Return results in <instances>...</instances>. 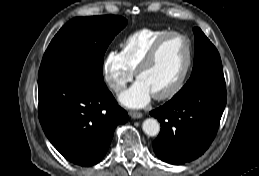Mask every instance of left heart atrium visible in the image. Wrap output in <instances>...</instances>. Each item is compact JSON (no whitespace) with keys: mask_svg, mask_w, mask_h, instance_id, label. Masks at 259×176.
<instances>
[{"mask_svg":"<svg viewBox=\"0 0 259 176\" xmlns=\"http://www.w3.org/2000/svg\"><path fill=\"white\" fill-rule=\"evenodd\" d=\"M152 96L151 90L142 81L137 80L120 95L119 100L126 107L142 108L150 102Z\"/></svg>","mask_w":259,"mask_h":176,"instance_id":"obj_1","label":"left heart atrium"}]
</instances>
